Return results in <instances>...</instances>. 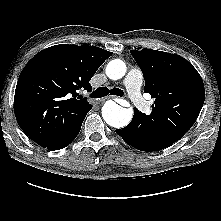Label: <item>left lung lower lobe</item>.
Here are the masks:
<instances>
[{
    "label": "left lung lower lobe",
    "mask_w": 221,
    "mask_h": 221,
    "mask_svg": "<svg viewBox=\"0 0 221 221\" xmlns=\"http://www.w3.org/2000/svg\"><path fill=\"white\" fill-rule=\"evenodd\" d=\"M138 113H139V111L135 108L134 109V116H133V119L130 122V124L122 129H116V133L120 137H122V139L126 143H128L130 146H132L138 150L148 151V152L153 151L146 145V143L143 140H141L137 130L133 126L134 122L139 118Z\"/></svg>",
    "instance_id": "obj_1"
}]
</instances>
